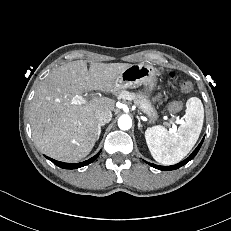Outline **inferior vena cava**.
<instances>
[{"mask_svg":"<svg viewBox=\"0 0 231 231\" xmlns=\"http://www.w3.org/2000/svg\"><path fill=\"white\" fill-rule=\"evenodd\" d=\"M98 125H105L112 119V113L108 109H99L95 113Z\"/></svg>","mask_w":231,"mask_h":231,"instance_id":"602c4592","label":"inferior vena cava"}]
</instances>
